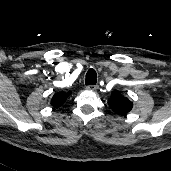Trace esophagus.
<instances>
[{
	"label": "esophagus",
	"mask_w": 171,
	"mask_h": 171,
	"mask_svg": "<svg viewBox=\"0 0 171 171\" xmlns=\"http://www.w3.org/2000/svg\"><path fill=\"white\" fill-rule=\"evenodd\" d=\"M87 89L88 90H97L98 89V85L97 84H90V85H87Z\"/></svg>",
	"instance_id": "esophagus-1"
}]
</instances>
